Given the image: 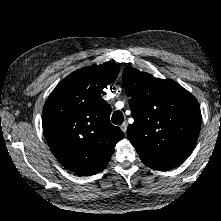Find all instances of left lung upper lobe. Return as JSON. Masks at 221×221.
I'll list each match as a JSON object with an SVG mask.
<instances>
[{
  "mask_svg": "<svg viewBox=\"0 0 221 221\" xmlns=\"http://www.w3.org/2000/svg\"><path fill=\"white\" fill-rule=\"evenodd\" d=\"M122 82L134 123L127 137L147 166L171 169L190 155L201 127L195 97L171 79H158L131 66Z\"/></svg>",
  "mask_w": 221,
  "mask_h": 221,
  "instance_id": "left-lung-upper-lobe-1",
  "label": "left lung upper lobe"
}]
</instances>
